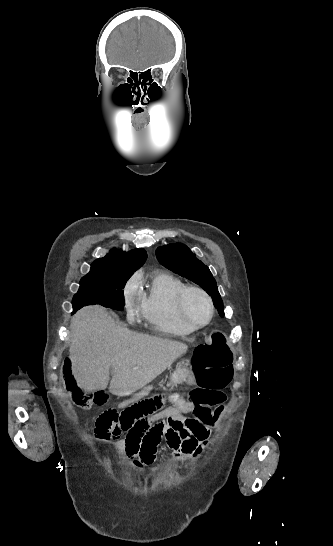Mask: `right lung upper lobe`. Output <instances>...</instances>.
Listing matches in <instances>:
<instances>
[{
    "mask_svg": "<svg viewBox=\"0 0 333 546\" xmlns=\"http://www.w3.org/2000/svg\"><path fill=\"white\" fill-rule=\"evenodd\" d=\"M146 258L147 253L144 249H135L131 252L112 249L105 257L95 260L91 269L109 268L135 272L145 263Z\"/></svg>",
    "mask_w": 333,
    "mask_h": 546,
    "instance_id": "1",
    "label": "right lung upper lobe"
}]
</instances>
